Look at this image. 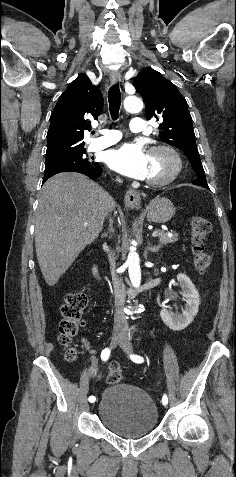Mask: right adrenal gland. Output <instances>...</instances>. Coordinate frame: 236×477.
Returning <instances> with one entry per match:
<instances>
[{"label":"right adrenal gland","mask_w":236,"mask_h":477,"mask_svg":"<svg viewBox=\"0 0 236 477\" xmlns=\"http://www.w3.org/2000/svg\"><path fill=\"white\" fill-rule=\"evenodd\" d=\"M109 231L110 233H113L114 232V229H113V220L110 219V224H109ZM108 236V233L104 234L103 237H107Z\"/></svg>","instance_id":"2a0ac1e0"}]
</instances>
